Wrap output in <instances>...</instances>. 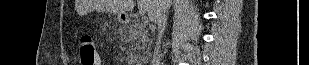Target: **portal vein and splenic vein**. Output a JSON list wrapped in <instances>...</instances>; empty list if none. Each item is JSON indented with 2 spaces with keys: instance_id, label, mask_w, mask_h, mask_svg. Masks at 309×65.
I'll return each mask as SVG.
<instances>
[{
  "instance_id": "1",
  "label": "portal vein and splenic vein",
  "mask_w": 309,
  "mask_h": 65,
  "mask_svg": "<svg viewBox=\"0 0 309 65\" xmlns=\"http://www.w3.org/2000/svg\"><path fill=\"white\" fill-rule=\"evenodd\" d=\"M141 15H142V20H141V22H142V24H143L144 26H146V25L149 23V19H148L147 16H145L144 13H141Z\"/></svg>"
}]
</instances>
